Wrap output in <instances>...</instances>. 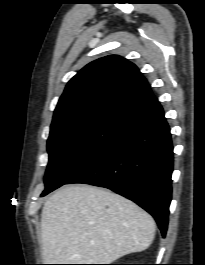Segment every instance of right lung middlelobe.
Masks as SVG:
<instances>
[{
  "label": "right lung middle lobe",
  "instance_id": "dd1d6c3e",
  "mask_svg": "<svg viewBox=\"0 0 205 265\" xmlns=\"http://www.w3.org/2000/svg\"><path fill=\"white\" fill-rule=\"evenodd\" d=\"M124 125L100 122L50 133L49 163L45 175V196L66 182L99 154Z\"/></svg>",
  "mask_w": 205,
  "mask_h": 265
}]
</instances>
